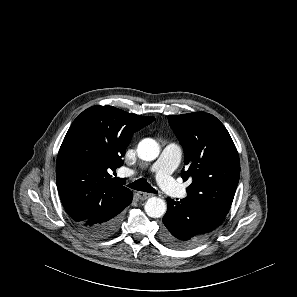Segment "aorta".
I'll list each match as a JSON object with an SVG mask.
<instances>
[{
    "label": "aorta",
    "mask_w": 297,
    "mask_h": 297,
    "mask_svg": "<svg viewBox=\"0 0 297 297\" xmlns=\"http://www.w3.org/2000/svg\"><path fill=\"white\" fill-rule=\"evenodd\" d=\"M160 152L158 143L150 138L143 139L137 147V153L140 159L144 161L155 160ZM145 212L149 217L159 218L166 212L167 206L163 199L151 197L144 206Z\"/></svg>",
    "instance_id": "762f6f07"
}]
</instances>
